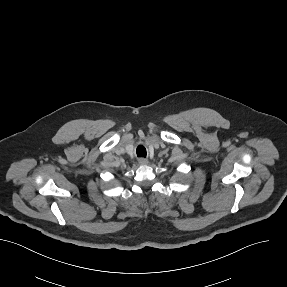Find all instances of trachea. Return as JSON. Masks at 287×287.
Segmentation results:
<instances>
[{"label":"trachea","mask_w":287,"mask_h":287,"mask_svg":"<svg viewBox=\"0 0 287 287\" xmlns=\"http://www.w3.org/2000/svg\"><path fill=\"white\" fill-rule=\"evenodd\" d=\"M136 153L138 157H146V148L143 145H139L136 149Z\"/></svg>","instance_id":"trachea-1"}]
</instances>
